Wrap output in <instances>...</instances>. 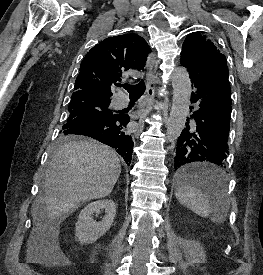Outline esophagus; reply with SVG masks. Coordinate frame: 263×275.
<instances>
[{
    "instance_id": "34e87169",
    "label": "esophagus",
    "mask_w": 263,
    "mask_h": 275,
    "mask_svg": "<svg viewBox=\"0 0 263 275\" xmlns=\"http://www.w3.org/2000/svg\"><path fill=\"white\" fill-rule=\"evenodd\" d=\"M147 100L148 106L151 107L154 101V95L156 91V85L159 83V79L155 73V57L153 54H150L147 59ZM144 127V119H140L138 123V129L141 131Z\"/></svg>"
}]
</instances>
